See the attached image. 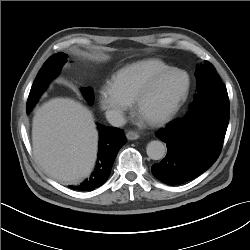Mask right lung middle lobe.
<instances>
[{"label": "right lung middle lobe", "mask_w": 250, "mask_h": 250, "mask_svg": "<svg viewBox=\"0 0 250 250\" xmlns=\"http://www.w3.org/2000/svg\"><path fill=\"white\" fill-rule=\"evenodd\" d=\"M67 57L68 55L60 52L48 59L42 66L31 87L27 100L26 112H29L34 107L50 81L58 76L63 65L67 62ZM83 94L86 99L92 104L94 101L93 90L91 88L84 89Z\"/></svg>", "instance_id": "1"}]
</instances>
